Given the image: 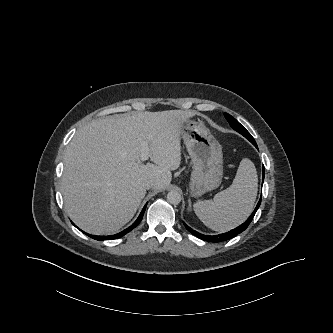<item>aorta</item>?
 Instances as JSON below:
<instances>
[{"label": "aorta", "instance_id": "aorta-1", "mask_svg": "<svg viewBox=\"0 0 333 333\" xmlns=\"http://www.w3.org/2000/svg\"><path fill=\"white\" fill-rule=\"evenodd\" d=\"M167 200L169 203L177 205L181 202V195L178 191L172 190L167 194Z\"/></svg>", "mask_w": 333, "mask_h": 333}]
</instances>
